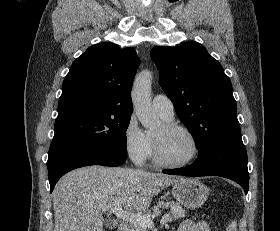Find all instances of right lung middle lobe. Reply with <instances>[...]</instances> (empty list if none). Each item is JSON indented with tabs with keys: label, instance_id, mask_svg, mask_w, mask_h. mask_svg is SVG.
Returning a JSON list of instances; mask_svg holds the SVG:
<instances>
[{
	"label": "right lung middle lobe",
	"instance_id": "right-lung-middle-lobe-1",
	"mask_svg": "<svg viewBox=\"0 0 280 231\" xmlns=\"http://www.w3.org/2000/svg\"><path fill=\"white\" fill-rule=\"evenodd\" d=\"M131 115L105 114L56 120L53 141L72 140L127 155L126 130Z\"/></svg>",
	"mask_w": 280,
	"mask_h": 231
}]
</instances>
